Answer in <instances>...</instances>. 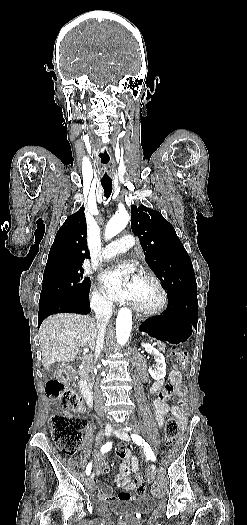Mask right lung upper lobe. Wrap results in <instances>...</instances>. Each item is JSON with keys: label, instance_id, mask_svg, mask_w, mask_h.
I'll list each match as a JSON object with an SVG mask.
<instances>
[{"label": "right lung upper lobe", "instance_id": "right-lung-upper-lobe-1", "mask_svg": "<svg viewBox=\"0 0 247 525\" xmlns=\"http://www.w3.org/2000/svg\"><path fill=\"white\" fill-rule=\"evenodd\" d=\"M84 208L69 216L50 248L45 271L81 266L89 257Z\"/></svg>", "mask_w": 247, "mask_h": 525}]
</instances>
